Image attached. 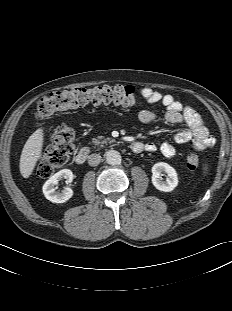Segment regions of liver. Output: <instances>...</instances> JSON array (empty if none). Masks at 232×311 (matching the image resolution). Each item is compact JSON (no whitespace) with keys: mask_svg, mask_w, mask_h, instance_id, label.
I'll use <instances>...</instances> for the list:
<instances>
[{"mask_svg":"<svg viewBox=\"0 0 232 311\" xmlns=\"http://www.w3.org/2000/svg\"><path fill=\"white\" fill-rule=\"evenodd\" d=\"M44 142L43 129H37L26 141L21 156L19 169L24 178H29L32 174L38 159L41 156Z\"/></svg>","mask_w":232,"mask_h":311,"instance_id":"6515ba94","label":"liver"}]
</instances>
